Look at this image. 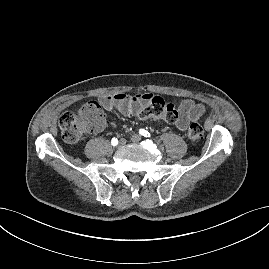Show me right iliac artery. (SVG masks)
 Returning a JSON list of instances; mask_svg holds the SVG:
<instances>
[{"label":"right iliac artery","instance_id":"1","mask_svg":"<svg viewBox=\"0 0 269 269\" xmlns=\"http://www.w3.org/2000/svg\"><path fill=\"white\" fill-rule=\"evenodd\" d=\"M118 142V140H117V138H113L112 140H111V144L113 145V146H116V143Z\"/></svg>","mask_w":269,"mask_h":269}]
</instances>
